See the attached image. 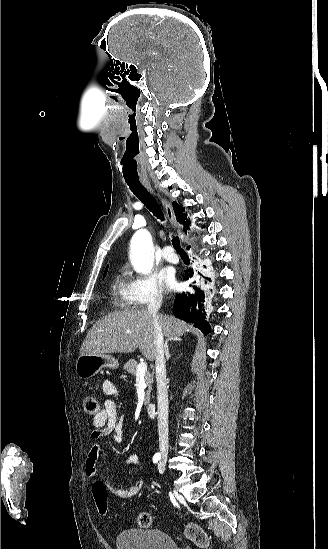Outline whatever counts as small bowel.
<instances>
[{
  "label": "small bowel",
  "mask_w": 328,
  "mask_h": 549,
  "mask_svg": "<svg viewBox=\"0 0 328 549\" xmlns=\"http://www.w3.org/2000/svg\"><path fill=\"white\" fill-rule=\"evenodd\" d=\"M103 392L111 398L104 401L103 408L93 418L94 429L91 432V437L95 440L92 444L85 462L86 474L90 478L102 479L98 470V460L100 455L99 440L104 437H109L114 442H121L123 439L122 426L123 419L118 416L117 404L112 399L117 395V388L111 380H104L102 384ZM140 462V457L137 454H132L127 459L128 466H134ZM143 480L134 482L128 488H119L110 486L112 492L121 498H132L136 496L143 488Z\"/></svg>",
  "instance_id": "1"
}]
</instances>
